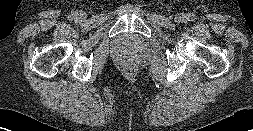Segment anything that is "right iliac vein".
Segmentation results:
<instances>
[{"label":"right iliac vein","instance_id":"obj_1","mask_svg":"<svg viewBox=\"0 0 253 131\" xmlns=\"http://www.w3.org/2000/svg\"><path fill=\"white\" fill-rule=\"evenodd\" d=\"M79 17L80 18H83L84 17V14L81 12V13H79Z\"/></svg>","mask_w":253,"mask_h":131}]
</instances>
